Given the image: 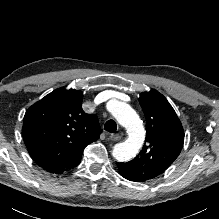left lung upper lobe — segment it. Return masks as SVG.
I'll return each mask as SVG.
<instances>
[{
	"label": "left lung upper lobe",
	"instance_id": "5c2ea615",
	"mask_svg": "<svg viewBox=\"0 0 219 219\" xmlns=\"http://www.w3.org/2000/svg\"><path fill=\"white\" fill-rule=\"evenodd\" d=\"M138 100L146 117L145 144L133 160L117 165L150 180L162 174L179 156L184 131L174 109L161 93L143 92Z\"/></svg>",
	"mask_w": 219,
	"mask_h": 219
}]
</instances>
